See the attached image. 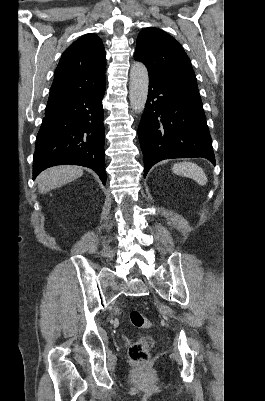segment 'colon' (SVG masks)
I'll return each mask as SVG.
<instances>
[{
    "label": "colon",
    "instance_id": "1",
    "mask_svg": "<svg viewBox=\"0 0 265 401\" xmlns=\"http://www.w3.org/2000/svg\"><path fill=\"white\" fill-rule=\"evenodd\" d=\"M129 320L137 328L148 329L151 326V322L138 310L130 312ZM152 347L153 338L149 335L143 336L130 346L128 351L129 358L136 365L143 366L149 360Z\"/></svg>",
    "mask_w": 265,
    "mask_h": 401
}]
</instances>
